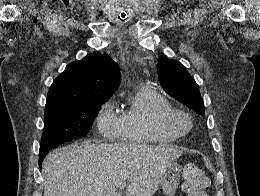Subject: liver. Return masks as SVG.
Here are the masks:
<instances>
[{
	"instance_id": "obj_1",
	"label": "liver",
	"mask_w": 260,
	"mask_h": 196,
	"mask_svg": "<svg viewBox=\"0 0 260 196\" xmlns=\"http://www.w3.org/2000/svg\"><path fill=\"white\" fill-rule=\"evenodd\" d=\"M177 146L71 144L46 156L44 196H153L169 166L182 156Z\"/></svg>"
}]
</instances>
